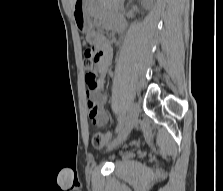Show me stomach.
Here are the masks:
<instances>
[{
    "label": "stomach",
    "mask_w": 223,
    "mask_h": 191,
    "mask_svg": "<svg viewBox=\"0 0 223 191\" xmlns=\"http://www.w3.org/2000/svg\"><path fill=\"white\" fill-rule=\"evenodd\" d=\"M90 0H76L73 6V17L77 28L82 32L91 30L92 23L88 15Z\"/></svg>",
    "instance_id": "0dacf381"
}]
</instances>
